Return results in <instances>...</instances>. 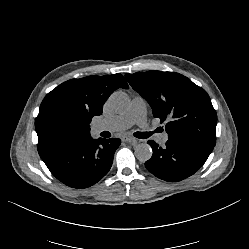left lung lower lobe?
I'll return each mask as SVG.
<instances>
[{
    "label": "left lung lower lobe",
    "mask_w": 249,
    "mask_h": 249,
    "mask_svg": "<svg viewBox=\"0 0 249 249\" xmlns=\"http://www.w3.org/2000/svg\"><path fill=\"white\" fill-rule=\"evenodd\" d=\"M148 144L153 155L145 162V167L156 177L169 182L181 181L194 174L214 148L183 139H168L163 147L153 140H149Z\"/></svg>",
    "instance_id": "obj_1"
}]
</instances>
